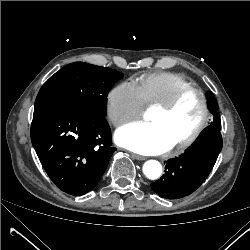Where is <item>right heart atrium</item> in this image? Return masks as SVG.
I'll return each instance as SVG.
<instances>
[{
	"label": "right heart atrium",
	"mask_w": 250,
	"mask_h": 250,
	"mask_svg": "<svg viewBox=\"0 0 250 250\" xmlns=\"http://www.w3.org/2000/svg\"><path fill=\"white\" fill-rule=\"evenodd\" d=\"M143 105L136 84L130 81L115 85L106 96L107 116L115 127H120L139 116Z\"/></svg>",
	"instance_id": "right-heart-atrium-1"
}]
</instances>
